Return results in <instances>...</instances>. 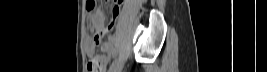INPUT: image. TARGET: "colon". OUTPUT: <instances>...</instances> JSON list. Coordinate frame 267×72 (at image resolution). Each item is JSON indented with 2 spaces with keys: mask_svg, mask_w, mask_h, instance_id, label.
<instances>
[{
  "mask_svg": "<svg viewBox=\"0 0 267 72\" xmlns=\"http://www.w3.org/2000/svg\"><path fill=\"white\" fill-rule=\"evenodd\" d=\"M94 2H92V6H94ZM119 9V7H115L114 8V10H118ZM113 26V23L112 24H110L109 26H108V29H110L111 27ZM100 41H101V36L100 35H96L95 36V42L96 43H100ZM99 71V64H98V62L97 61H91L90 63H89V72H98Z\"/></svg>",
  "mask_w": 267,
  "mask_h": 72,
  "instance_id": "1",
  "label": "colon"
}]
</instances>
